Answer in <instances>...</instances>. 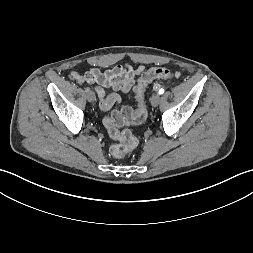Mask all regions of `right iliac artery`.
<instances>
[{
	"label": "right iliac artery",
	"mask_w": 253,
	"mask_h": 253,
	"mask_svg": "<svg viewBox=\"0 0 253 253\" xmlns=\"http://www.w3.org/2000/svg\"><path fill=\"white\" fill-rule=\"evenodd\" d=\"M85 91H86V92L90 91V88H89V87H86V88H85Z\"/></svg>",
	"instance_id": "1"
}]
</instances>
